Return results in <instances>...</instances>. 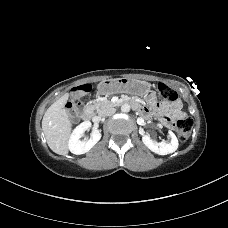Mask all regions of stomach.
Instances as JSON below:
<instances>
[{
	"mask_svg": "<svg viewBox=\"0 0 228 228\" xmlns=\"http://www.w3.org/2000/svg\"><path fill=\"white\" fill-rule=\"evenodd\" d=\"M150 90L151 84L149 82L130 78L107 79L100 82L97 86V93L100 95L128 93L145 96Z\"/></svg>",
	"mask_w": 228,
	"mask_h": 228,
	"instance_id": "obj_1",
	"label": "stomach"
}]
</instances>
